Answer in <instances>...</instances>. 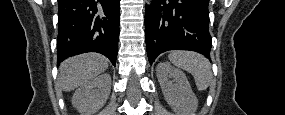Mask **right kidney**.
I'll use <instances>...</instances> for the list:
<instances>
[{
	"label": "right kidney",
	"instance_id": "right-kidney-1",
	"mask_svg": "<svg viewBox=\"0 0 285 115\" xmlns=\"http://www.w3.org/2000/svg\"><path fill=\"white\" fill-rule=\"evenodd\" d=\"M110 90L111 77L109 74H102L84 83L75 91L72 105L81 113H95L107 101Z\"/></svg>",
	"mask_w": 285,
	"mask_h": 115
}]
</instances>
